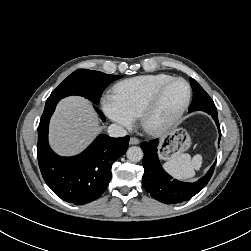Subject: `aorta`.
Listing matches in <instances>:
<instances>
[{
    "mask_svg": "<svg viewBox=\"0 0 251 251\" xmlns=\"http://www.w3.org/2000/svg\"><path fill=\"white\" fill-rule=\"evenodd\" d=\"M127 158L132 162H139L143 158V151L140 147L132 146L127 150Z\"/></svg>",
    "mask_w": 251,
    "mask_h": 251,
    "instance_id": "obj_1",
    "label": "aorta"
}]
</instances>
